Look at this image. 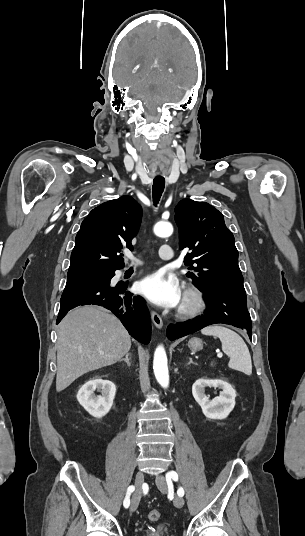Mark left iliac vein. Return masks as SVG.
<instances>
[{
    "mask_svg": "<svg viewBox=\"0 0 305 536\" xmlns=\"http://www.w3.org/2000/svg\"><path fill=\"white\" fill-rule=\"evenodd\" d=\"M156 484L160 492L165 493L167 491V482L166 478L163 475H158L156 477ZM174 505L178 508H181L184 506V499L181 496H176L174 498Z\"/></svg>",
    "mask_w": 305,
    "mask_h": 536,
    "instance_id": "1",
    "label": "left iliac vein"
}]
</instances>
